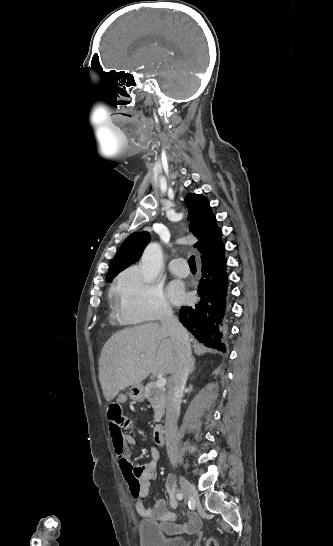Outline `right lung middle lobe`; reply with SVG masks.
I'll return each mask as SVG.
<instances>
[{
	"label": "right lung middle lobe",
	"mask_w": 333,
	"mask_h": 546,
	"mask_svg": "<svg viewBox=\"0 0 333 546\" xmlns=\"http://www.w3.org/2000/svg\"><path fill=\"white\" fill-rule=\"evenodd\" d=\"M118 273H119V272H113V273L108 274V275L106 276L107 281H108V282H111V281L113 280V278H114L115 276H117Z\"/></svg>",
	"instance_id": "right-lung-middle-lobe-1"
}]
</instances>
